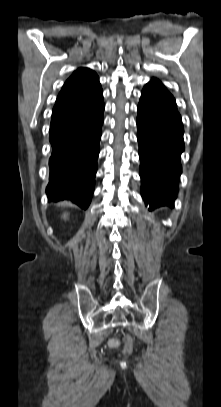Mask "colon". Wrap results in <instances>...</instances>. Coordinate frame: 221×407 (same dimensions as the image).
<instances>
[{"label": "colon", "instance_id": "colon-1", "mask_svg": "<svg viewBox=\"0 0 221 407\" xmlns=\"http://www.w3.org/2000/svg\"><path fill=\"white\" fill-rule=\"evenodd\" d=\"M118 345V342L116 340H111L110 341V346L115 347ZM133 351V339L129 336H126L123 338V353L125 355L131 354Z\"/></svg>", "mask_w": 221, "mask_h": 407}]
</instances>
